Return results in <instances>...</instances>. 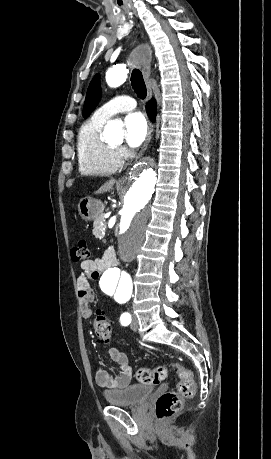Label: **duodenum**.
<instances>
[{
  "label": "duodenum",
  "instance_id": "410a0bca",
  "mask_svg": "<svg viewBox=\"0 0 271 459\" xmlns=\"http://www.w3.org/2000/svg\"><path fill=\"white\" fill-rule=\"evenodd\" d=\"M109 263H110V265H114L115 264V259L113 258L112 255H110Z\"/></svg>",
  "mask_w": 271,
  "mask_h": 459
}]
</instances>
